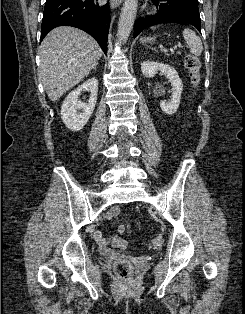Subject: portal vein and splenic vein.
I'll list each match as a JSON object with an SVG mask.
<instances>
[{
	"label": "portal vein and splenic vein",
	"instance_id": "1",
	"mask_svg": "<svg viewBox=\"0 0 245 314\" xmlns=\"http://www.w3.org/2000/svg\"><path fill=\"white\" fill-rule=\"evenodd\" d=\"M177 47H178V48H182L183 46H182L180 43H178L177 45H175V46L173 47V49H177Z\"/></svg>",
	"mask_w": 245,
	"mask_h": 314
}]
</instances>
